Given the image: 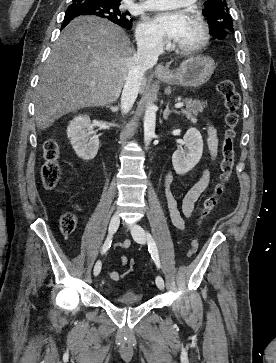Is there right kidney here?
<instances>
[{
	"label": "right kidney",
	"instance_id": "right-kidney-1",
	"mask_svg": "<svg viewBox=\"0 0 276 363\" xmlns=\"http://www.w3.org/2000/svg\"><path fill=\"white\" fill-rule=\"evenodd\" d=\"M67 137L78 157L85 161L94 159L99 149V138L87 115L73 118L67 127Z\"/></svg>",
	"mask_w": 276,
	"mask_h": 363
}]
</instances>
